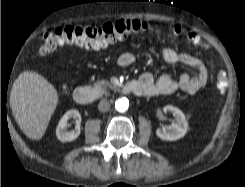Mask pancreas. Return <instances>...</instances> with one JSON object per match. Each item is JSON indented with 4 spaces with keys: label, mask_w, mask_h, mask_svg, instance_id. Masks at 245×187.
Segmentation results:
<instances>
[{
    "label": "pancreas",
    "mask_w": 245,
    "mask_h": 187,
    "mask_svg": "<svg viewBox=\"0 0 245 187\" xmlns=\"http://www.w3.org/2000/svg\"><path fill=\"white\" fill-rule=\"evenodd\" d=\"M94 87H95L97 90H99V91H101V92H104V93H106L107 88H110V89H112V90H117V89H118V85H116V84H111V83H109V82L106 81V80H98V81H96V82L94 83Z\"/></svg>",
    "instance_id": "pancreas-1"
}]
</instances>
